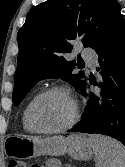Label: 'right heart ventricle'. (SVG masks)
Here are the masks:
<instances>
[{
  "label": "right heart ventricle",
  "mask_w": 125,
  "mask_h": 167,
  "mask_svg": "<svg viewBox=\"0 0 125 167\" xmlns=\"http://www.w3.org/2000/svg\"><path fill=\"white\" fill-rule=\"evenodd\" d=\"M31 100L27 103V105L25 106L23 113H22V125L23 128L27 131H32L30 124L28 122V118H27V110H28V106L30 104Z\"/></svg>",
  "instance_id": "e07e8e85"
}]
</instances>
